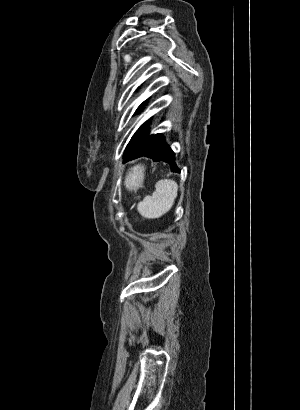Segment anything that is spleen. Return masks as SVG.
Segmentation results:
<instances>
[{
	"mask_svg": "<svg viewBox=\"0 0 300 410\" xmlns=\"http://www.w3.org/2000/svg\"><path fill=\"white\" fill-rule=\"evenodd\" d=\"M144 168L135 166L128 174L125 185L128 189H135L140 186L144 178ZM155 192L151 196H146L137 205L138 212L145 218H159L167 213L174 204L177 197L178 185L170 179H163L156 183Z\"/></svg>",
	"mask_w": 300,
	"mask_h": 410,
	"instance_id": "obj_1",
	"label": "spleen"
}]
</instances>
